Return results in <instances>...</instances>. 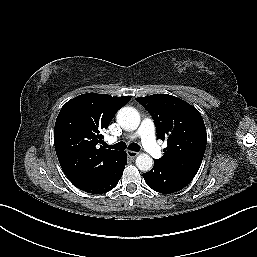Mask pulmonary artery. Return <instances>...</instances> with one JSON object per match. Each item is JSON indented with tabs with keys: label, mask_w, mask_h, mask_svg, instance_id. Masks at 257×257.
Here are the masks:
<instances>
[{
	"label": "pulmonary artery",
	"mask_w": 257,
	"mask_h": 257,
	"mask_svg": "<svg viewBox=\"0 0 257 257\" xmlns=\"http://www.w3.org/2000/svg\"><path fill=\"white\" fill-rule=\"evenodd\" d=\"M136 137H139L141 139L143 147L152 157L159 158L161 156V150L156 144L155 124L151 119H144L141 122L138 130L128 136L129 139H134ZM114 140V138H109V141Z\"/></svg>",
	"instance_id": "pulmonary-artery-1"
}]
</instances>
